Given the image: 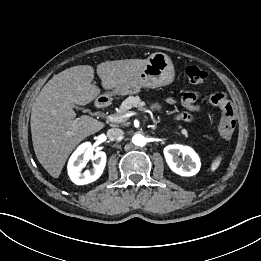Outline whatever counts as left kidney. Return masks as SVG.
Segmentation results:
<instances>
[{
	"label": "left kidney",
	"instance_id": "5707ae66",
	"mask_svg": "<svg viewBox=\"0 0 261 261\" xmlns=\"http://www.w3.org/2000/svg\"><path fill=\"white\" fill-rule=\"evenodd\" d=\"M180 154L183 156V160L179 158ZM164 156L170 169L181 176H193L200 170V158L189 146L168 145L164 148Z\"/></svg>",
	"mask_w": 261,
	"mask_h": 261
}]
</instances>
